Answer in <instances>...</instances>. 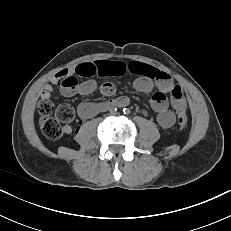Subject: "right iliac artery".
I'll use <instances>...</instances> for the list:
<instances>
[{
  "label": "right iliac artery",
  "instance_id": "obj_1",
  "mask_svg": "<svg viewBox=\"0 0 231 231\" xmlns=\"http://www.w3.org/2000/svg\"><path fill=\"white\" fill-rule=\"evenodd\" d=\"M109 111H110V113L114 114V113H116L117 108L116 107H111Z\"/></svg>",
  "mask_w": 231,
  "mask_h": 231
}]
</instances>
